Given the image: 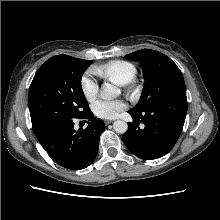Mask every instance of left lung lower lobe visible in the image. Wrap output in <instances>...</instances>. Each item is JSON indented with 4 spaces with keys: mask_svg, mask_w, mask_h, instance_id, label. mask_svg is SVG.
I'll use <instances>...</instances> for the list:
<instances>
[{
    "mask_svg": "<svg viewBox=\"0 0 220 220\" xmlns=\"http://www.w3.org/2000/svg\"><path fill=\"white\" fill-rule=\"evenodd\" d=\"M187 98H176L159 102L143 113L129 111L135 119L128 123L122 136L126 147L137 157L156 159L167 154L177 142L187 112ZM140 122L144 124L139 127Z\"/></svg>",
    "mask_w": 220,
    "mask_h": 220,
    "instance_id": "obj_1",
    "label": "left lung lower lobe"
}]
</instances>
